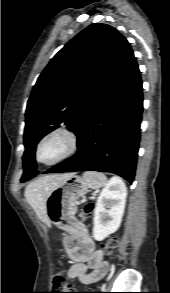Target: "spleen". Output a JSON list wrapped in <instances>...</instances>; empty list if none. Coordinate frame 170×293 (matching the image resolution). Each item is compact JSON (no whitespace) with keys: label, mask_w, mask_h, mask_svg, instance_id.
Instances as JSON below:
<instances>
[{"label":"spleen","mask_w":170,"mask_h":293,"mask_svg":"<svg viewBox=\"0 0 170 293\" xmlns=\"http://www.w3.org/2000/svg\"><path fill=\"white\" fill-rule=\"evenodd\" d=\"M83 179L89 188L99 189L107 184V178L104 174L95 171H86Z\"/></svg>","instance_id":"1"}]
</instances>
